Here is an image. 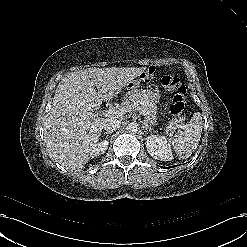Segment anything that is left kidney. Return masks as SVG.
<instances>
[{
  "instance_id": "left-kidney-1",
  "label": "left kidney",
  "mask_w": 247,
  "mask_h": 247,
  "mask_svg": "<svg viewBox=\"0 0 247 247\" xmlns=\"http://www.w3.org/2000/svg\"><path fill=\"white\" fill-rule=\"evenodd\" d=\"M145 143L148 153L154 159L161 161H170L173 159L171 146L165 136H148Z\"/></svg>"
}]
</instances>
